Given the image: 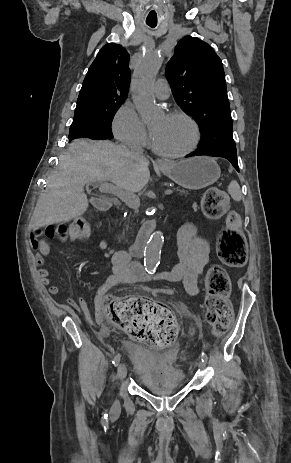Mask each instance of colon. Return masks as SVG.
<instances>
[{"instance_id":"5ec220e1","label":"colon","mask_w":291,"mask_h":463,"mask_svg":"<svg viewBox=\"0 0 291 463\" xmlns=\"http://www.w3.org/2000/svg\"><path fill=\"white\" fill-rule=\"evenodd\" d=\"M229 201L224 191L212 188L204 195L202 208L208 217L217 218L225 212ZM240 227V215L229 213L218 239V256L232 267L243 266L246 262V240ZM43 233L49 240L63 237L83 240L90 235V228L84 220L76 219L68 228L63 224L49 225ZM206 287L207 320L217 333H223L233 319L226 272L219 267L212 268L206 277ZM101 302L105 317L132 337L158 347H167L174 341L177 324L166 308L144 298L121 300L108 294L101 296Z\"/></svg>"}]
</instances>
